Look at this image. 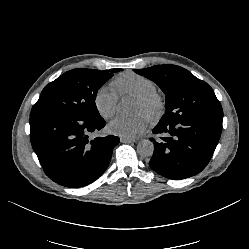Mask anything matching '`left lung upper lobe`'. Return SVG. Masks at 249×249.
<instances>
[{
	"instance_id": "5c2ea615",
	"label": "left lung upper lobe",
	"mask_w": 249,
	"mask_h": 249,
	"mask_svg": "<svg viewBox=\"0 0 249 249\" xmlns=\"http://www.w3.org/2000/svg\"><path fill=\"white\" fill-rule=\"evenodd\" d=\"M155 82L166 96V110L159 123L178 122L185 118L223 117L213 89L188 70L176 65H157L134 69Z\"/></svg>"
}]
</instances>
